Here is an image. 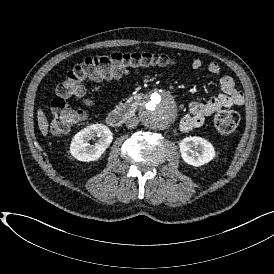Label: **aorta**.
<instances>
[{
    "label": "aorta",
    "mask_w": 274,
    "mask_h": 274,
    "mask_svg": "<svg viewBox=\"0 0 274 274\" xmlns=\"http://www.w3.org/2000/svg\"><path fill=\"white\" fill-rule=\"evenodd\" d=\"M176 116L177 108L173 96L165 91L152 93L140 110L141 120L153 129L167 127Z\"/></svg>",
    "instance_id": "obj_1"
}]
</instances>
